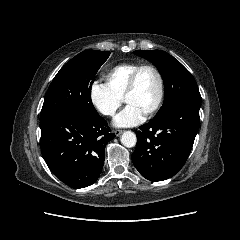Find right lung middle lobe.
Wrapping results in <instances>:
<instances>
[{
    "mask_svg": "<svg viewBox=\"0 0 240 240\" xmlns=\"http://www.w3.org/2000/svg\"><path fill=\"white\" fill-rule=\"evenodd\" d=\"M109 55L108 51L86 50L67 62L49 86L40 120L61 112L97 115L91 101V87L96 73Z\"/></svg>",
    "mask_w": 240,
    "mask_h": 240,
    "instance_id": "obj_1",
    "label": "right lung middle lobe"
}]
</instances>
